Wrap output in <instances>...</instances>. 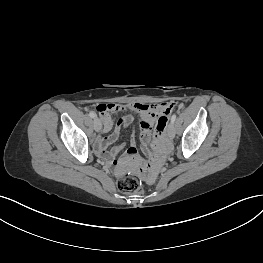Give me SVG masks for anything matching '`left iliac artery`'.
Masks as SVG:
<instances>
[{
	"label": "left iliac artery",
	"mask_w": 263,
	"mask_h": 263,
	"mask_svg": "<svg viewBox=\"0 0 263 263\" xmlns=\"http://www.w3.org/2000/svg\"><path fill=\"white\" fill-rule=\"evenodd\" d=\"M175 120H176V114H173L171 117V123L174 124Z\"/></svg>",
	"instance_id": "obj_1"
}]
</instances>
